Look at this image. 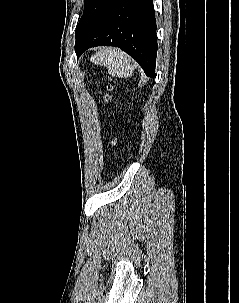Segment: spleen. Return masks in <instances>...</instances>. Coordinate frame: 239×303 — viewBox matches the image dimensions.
I'll list each match as a JSON object with an SVG mask.
<instances>
[{"mask_svg":"<svg viewBox=\"0 0 239 303\" xmlns=\"http://www.w3.org/2000/svg\"><path fill=\"white\" fill-rule=\"evenodd\" d=\"M91 61L106 67L110 75L118 78H128L134 71L131 58L118 48H102L91 57Z\"/></svg>","mask_w":239,"mask_h":303,"instance_id":"1","label":"spleen"}]
</instances>
